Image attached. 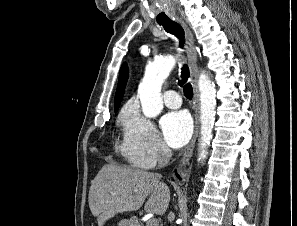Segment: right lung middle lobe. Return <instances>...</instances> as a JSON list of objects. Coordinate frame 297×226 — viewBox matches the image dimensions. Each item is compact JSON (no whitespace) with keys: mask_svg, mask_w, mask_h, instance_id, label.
<instances>
[{"mask_svg":"<svg viewBox=\"0 0 297 226\" xmlns=\"http://www.w3.org/2000/svg\"><path fill=\"white\" fill-rule=\"evenodd\" d=\"M119 107L114 108V111L116 112L118 110Z\"/></svg>","mask_w":297,"mask_h":226,"instance_id":"obj_1","label":"right lung middle lobe"}]
</instances>
